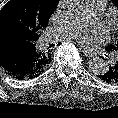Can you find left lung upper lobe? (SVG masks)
Wrapping results in <instances>:
<instances>
[{
	"instance_id": "1",
	"label": "left lung upper lobe",
	"mask_w": 118,
	"mask_h": 118,
	"mask_svg": "<svg viewBox=\"0 0 118 118\" xmlns=\"http://www.w3.org/2000/svg\"><path fill=\"white\" fill-rule=\"evenodd\" d=\"M116 6H118V0H111ZM108 52H113L114 54L118 55V44L110 45L106 48Z\"/></svg>"
}]
</instances>
